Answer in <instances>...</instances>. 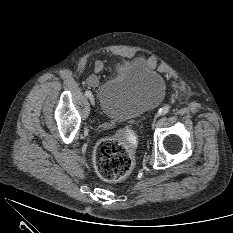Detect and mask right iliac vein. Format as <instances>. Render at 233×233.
<instances>
[{"instance_id": "right-iliac-vein-1", "label": "right iliac vein", "mask_w": 233, "mask_h": 233, "mask_svg": "<svg viewBox=\"0 0 233 233\" xmlns=\"http://www.w3.org/2000/svg\"><path fill=\"white\" fill-rule=\"evenodd\" d=\"M89 100H90V102H91L92 105H95V98H94V96H90Z\"/></svg>"}]
</instances>
